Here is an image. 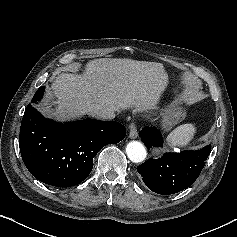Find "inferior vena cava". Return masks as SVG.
Listing matches in <instances>:
<instances>
[{
    "mask_svg": "<svg viewBox=\"0 0 237 237\" xmlns=\"http://www.w3.org/2000/svg\"><path fill=\"white\" fill-rule=\"evenodd\" d=\"M91 114L101 120H112L116 116L115 110L111 109L95 110Z\"/></svg>",
    "mask_w": 237,
    "mask_h": 237,
    "instance_id": "1",
    "label": "inferior vena cava"
}]
</instances>
